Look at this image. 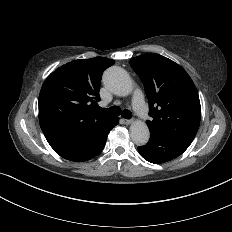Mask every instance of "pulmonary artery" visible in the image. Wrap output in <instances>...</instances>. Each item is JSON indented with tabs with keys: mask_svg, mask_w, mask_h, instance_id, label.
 Returning a JSON list of instances; mask_svg holds the SVG:
<instances>
[{
	"mask_svg": "<svg viewBox=\"0 0 232 232\" xmlns=\"http://www.w3.org/2000/svg\"><path fill=\"white\" fill-rule=\"evenodd\" d=\"M134 103H133V107L137 113L138 116L145 118L148 116L149 111L147 108H145L144 106V100H145V96L143 93L138 92L135 94L134 96Z\"/></svg>",
	"mask_w": 232,
	"mask_h": 232,
	"instance_id": "pulmonary-artery-1",
	"label": "pulmonary artery"
}]
</instances>
